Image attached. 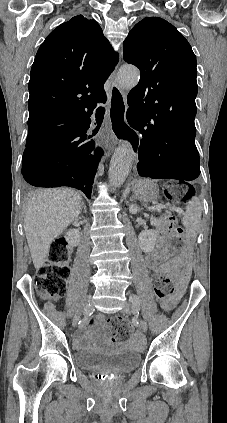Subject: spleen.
I'll return each mask as SVG.
<instances>
[{
    "label": "spleen",
    "instance_id": "obj_1",
    "mask_svg": "<svg viewBox=\"0 0 227 423\" xmlns=\"http://www.w3.org/2000/svg\"><path fill=\"white\" fill-rule=\"evenodd\" d=\"M201 204L198 198H193L186 204L185 213L182 217V223L189 233H196L201 223Z\"/></svg>",
    "mask_w": 227,
    "mask_h": 423
}]
</instances>
